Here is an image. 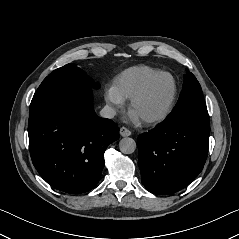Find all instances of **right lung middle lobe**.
Listing matches in <instances>:
<instances>
[{
	"label": "right lung middle lobe",
	"instance_id": "dd1d6c3e",
	"mask_svg": "<svg viewBox=\"0 0 239 239\" xmlns=\"http://www.w3.org/2000/svg\"><path fill=\"white\" fill-rule=\"evenodd\" d=\"M73 86L89 88L90 86L98 87V84L92 83L91 79L85 75L83 70L75 64L69 63L54 70L43 80L35 92L30 106L35 105L41 99L55 91Z\"/></svg>",
	"mask_w": 239,
	"mask_h": 239
}]
</instances>
